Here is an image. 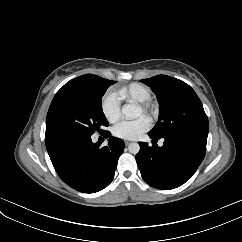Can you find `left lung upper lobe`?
<instances>
[{
    "label": "left lung upper lobe",
    "mask_w": 242,
    "mask_h": 242,
    "mask_svg": "<svg viewBox=\"0 0 242 242\" xmlns=\"http://www.w3.org/2000/svg\"><path fill=\"white\" fill-rule=\"evenodd\" d=\"M159 102L157 124L148 133L160 139L181 133L208 134V118L195 91L185 82L166 75L142 79Z\"/></svg>",
    "instance_id": "1"
}]
</instances>
